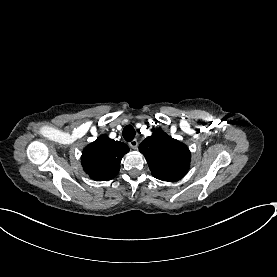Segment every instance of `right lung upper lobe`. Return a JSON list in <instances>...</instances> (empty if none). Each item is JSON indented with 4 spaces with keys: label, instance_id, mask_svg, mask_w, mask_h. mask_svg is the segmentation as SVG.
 Listing matches in <instances>:
<instances>
[{
    "label": "right lung upper lobe",
    "instance_id": "cb5924a9",
    "mask_svg": "<svg viewBox=\"0 0 277 277\" xmlns=\"http://www.w3.org/2000/svg\"><path fill=\"white\" fill-rule=\"evenodd\" d=\"M128 151L125 143L102 135L83 150L82 166L92 179L110 180L118 174L121 159Z\"/></svg>",
    "mask_w": 277,
    "mask_h": 277
}]
</instances>
